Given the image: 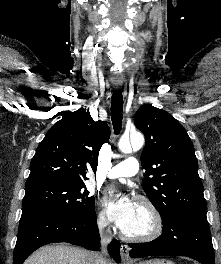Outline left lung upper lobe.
<instances>
[{"instance_id": "obj_1", "label": "left lung upper lobe", "mask_w": 221, "mask_h": 264, "mask_svg": "<svg viewBox=\"0 0 221 264\" xmlns=\"http://www.w3.org/2000/svg\"><path fill=\"white\" fill-rule=\"evenodd\" d=\"M134 124L146 137L142 187L161 218L206 215L198 161L185 128L168 112L151 105L138 109Z\"/></svg>"}]
</instances>
